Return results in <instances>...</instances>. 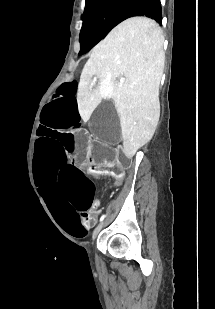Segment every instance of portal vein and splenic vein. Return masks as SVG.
Here are the masks:
<instances>
[{
    "instance_id": "obj_1",
    "label": "portal vein and splenic vein",
    "mask_w": 215,
    "mask_h": 309,
    "mask_svg": "<svg viewBox=\"0 0 215 309\" xmlns=\"http://www.w3.org/2000/svg\"><path fill=\"white\" fill-rule=\"evenodd\" d=\"M124 78H120V82H118V86H123Z\"/></svg>"
}]
</instances>
